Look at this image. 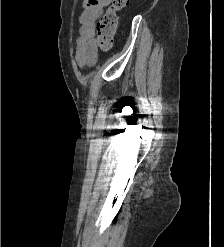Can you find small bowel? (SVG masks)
Wrapping results in <instances>:
<instances>
[{"mask_svg": "<svg viewBox=\"0 0 224 247\" xmlns=\"http://www.w3.org/2000/svg\"><path fill=\"white\" fill-rule=\"evenodd\" d=\"M111 0H85L84 10L79 17L81 24L76 41V59L80 65H93L97 58L95 23Z\"/></svg>", "mask_w": 224, "mask_h": 247, "instance_id": "1", "label": "small bowel"}]
</instances>
